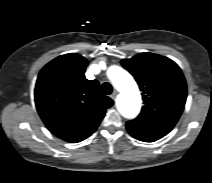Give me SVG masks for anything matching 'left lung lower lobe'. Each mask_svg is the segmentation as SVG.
I'll return each mask as SVG.
<instances>
[{"instance_id": "1", "label": "left lung lower lobe", "mask_w": 212, "mask_h": 183, "mask_svg": "<svg viewBox=\"0 0 212 183\" xmlns=\"http://www.w3.org/2000/svg\"><path fill=\"white\" fill-rule=\"evenodd\" d=\"M127 130L134 138L144 142H153L163 137L162 135L152 134L134 128H127Z\"/></svg>"}]
</instances>
